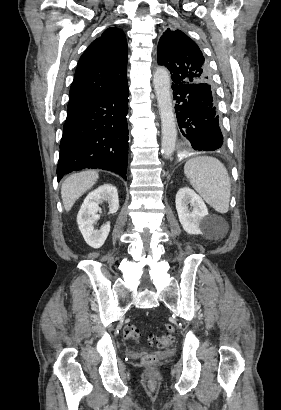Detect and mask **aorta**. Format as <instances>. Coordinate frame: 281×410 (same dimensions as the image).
Returning a JSON list of instances; mask_svg holds the SVG:
<instances>
[{
  "instance_id": "aorta-1",
  "label": "aorta",
  "mask_w": 281,
  "mask_h": 410,
  "mask_svg": "<svg viewBox=\"0 0 281 410\" xmlns=\"http://www.w3.org/2000/svg\"><path fill=\"white\" fill-rule=\"evenodd\" d=\"M153 84L161 117V150L164 158L167 159L174 153L177 129L171 99V79L166 68L159 67L156 69L153 75Z\"/></svg>"
}]
</instances>
